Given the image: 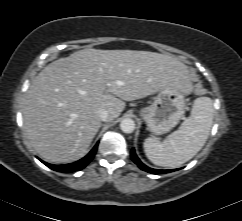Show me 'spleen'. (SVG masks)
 <instances>
[{"label": "spleen", "mask_w": 242, "mask_h": 221, "mask_svg": "<svg viewBox=\"0 0 242 221\" xmlns=\"http://www.w3.org/2000/svg\"><path fill=\"white\" fill-rule=\"evenodd\" d=\"M214 117L213 100H194L190 116L167 139L147 138L144 152L155 165L175 168L192 159L205 145Z\"/></svg>", "instance_id": "3e777b00"}]
</instances>
